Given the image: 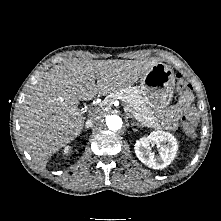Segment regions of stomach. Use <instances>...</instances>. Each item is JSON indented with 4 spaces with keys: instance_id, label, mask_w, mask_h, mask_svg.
Returning <instances> with one entry per match:
<instances>
[{
    "instance_id": "1",
    "label": "stomach",
    "mask_w": 221,
    "mask_h": 221,
    "mask_svg": "<svg viewBox=\"0 0 221 221\" xmlns=\"http://www.w3.org/2000/svg\"><path fill=\"white\" fill-rule=\"evenodd\" d=\"M174 87V72L168 65L159 62L143 74L138 90L143 104L150 111H161L170 104Z\"/></svg>"
}]
</instances>
